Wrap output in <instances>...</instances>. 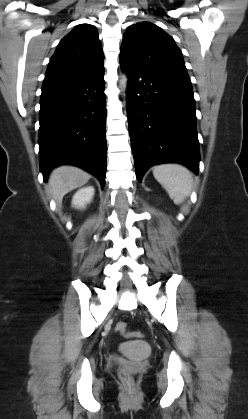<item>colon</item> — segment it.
<instances>
[{
  "instance_id": "1",
  "label": "colon",
  "mask_w": 248,
  "mask_h": 419,
  "mask_svg": "<svg viewBox=\"0 0 248 419\" xmlns=\"http://www.w3.org/2000/svg\"><path fill=\"white\" fill-rule=\"evenodd\" d=\"M116 332H118L119 334H122V335L130 336V337H141L142 336V334L140 332L128 333L127 332V324L124 323V322H120L116 325ZM119 375L122 378V380L128 386L132 385L133 378L126 369L120 368Z\"/></svg>"
}]
</instances>
